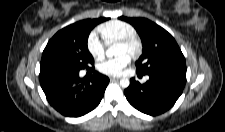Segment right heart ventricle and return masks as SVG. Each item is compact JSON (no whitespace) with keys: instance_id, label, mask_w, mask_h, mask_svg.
<instances>
[{"instance_id":"1","label":"right heart ventricle","mask_w":225,"mask_h":132,"mask_svg":"<svg viewBox=\"0 0 225 132\" xmlns=\"http://www.w3.org/2000/svg\"><path fill=\"white\" fill-rule=\"evenodd\" d=\"M98 31L103 41L108 45L116 43L123 38L136 35L134 26L120 20L106 22L99 27Z\"/></svg>"}]
</instances>
